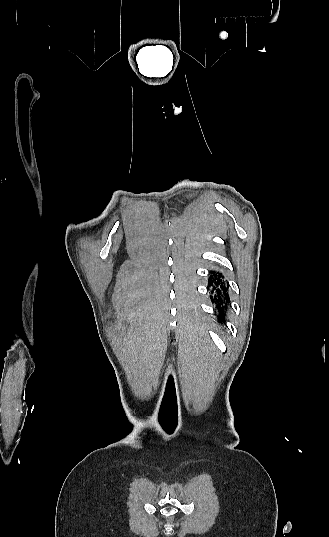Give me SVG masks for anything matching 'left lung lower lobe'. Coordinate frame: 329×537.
<instances>
[{
	"instance_id": "obj_1",
	"label": "left lung lower lobe",
	"mask_w": 329,
	"mask_h": 537,
	"mask_svg": "<svg viewBox=\"0 0 329 537\" xmlns=\"http://www.w3.org/2000/svg\"><path fill=\"white\" fill-rule=\"evenodd\" d=\"M210 282L212 283L211 285H213V294H215V298L216 301H218L219 303V309L221 310L222 313L226 312L228 310V294H227V290L229 288V284L226 283L224 280H223V277H222V274L219 273V272H214L213 273V276L212 278L210 279ZM211 299H213V297H211ZM222 318H219V320L223 321Z\"/></svg>"
}]
</instances>
